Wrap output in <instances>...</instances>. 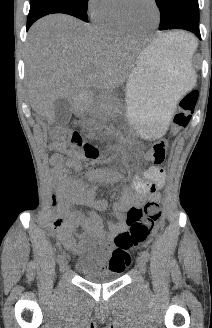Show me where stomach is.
I'll use <instances>...</instances> for the list:
<instances>
[{"instance_id":"stomach-1","label":"stomach","mask_w":212,"mask_h":328,"mask_svg":"<svg viewBox=\"0 0 212 328\" xmlns=\"http://www.w3.org/2000/svg\"><path fill=\"white\" fill-rule=\"evenodd\" d=\"M135 64L126 87L128 117L145 138H160L177 101L196 83L191 56L156 39L139 53Z\"/></svg>"}]
</instances>
